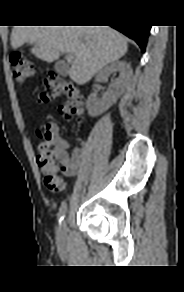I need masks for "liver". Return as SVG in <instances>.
Segmentation results:
<instances>
[{
    "instance_id": "6515ba94",
    "label": "liver",
    "mask_w": 184,
    "mask_h": 292,
    "mask_svg": "<svg viewBox=\"0 0 184 292\" xmlns=\"http://www.w3.org/2000/svg\"><path fill=\"white\" fill-rule=\"evenodd\" d=\"M31 43V53L51 63L60 54L73 55L69 76L78 85L87 83L105 65L128 50L125 37L109 26H15L11 46Z\"/></svg>"
}]
</instances>
